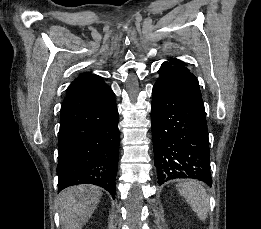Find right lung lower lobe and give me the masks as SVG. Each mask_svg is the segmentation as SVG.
Returning a JSON list of instances; mask_svg holds the SVG:
<instances>
[{"label": "right lung lower lobe", "mask_w": 261, "mask_h": 229, "mask_svg": "<svg viewBox=\"0 0 261 229\" xmlns=\"http://www.w3.org/2000/svg\"><path fill=\"white\" fill-rule=\"evenodd\" d=\"M58 190L92 184L115 199L119 130L114 93L101 77L70 91L63 101L58 139Z\"/></svg>", "instance_id": "98d812e1"}]
</instances>
